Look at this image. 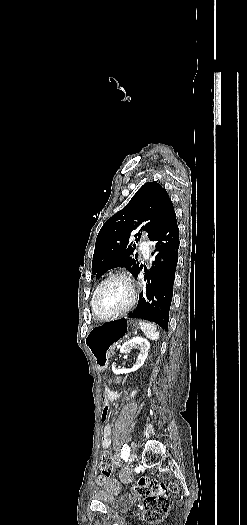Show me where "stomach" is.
I'll use <instances>...</instances> for the list:
<instances>
[{
  "mask_svg": "<svg viewBox=\"0 0 247 525\" xmlns=\"http://www.w3.org/2000/svg\"><path fill=\"white\" fill-rule=\"evenodd\" d=\"M138 325L127 318L97 324L92 327L87 338L86 346L93 355L97 368L104 370L107 367V351L122 338L137 331Z\"/></svg>",
  "mask_w": 247,
  "mask_h": 525,
  "instance_id": "1",
  "label": "stomach"
}]
</instances>
